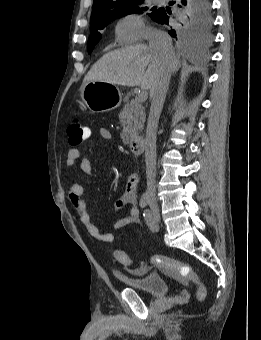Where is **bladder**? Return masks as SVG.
<instances>
[{
  "label": "bladder",
  "instance_id": "bladder-1",
  "mask_svg": "<svg viewBox=\"0 0 261 340\" xmlns=\"http://www.w3.org/2000/svg\"><path fill=\"white\" fill-rule=\"evenodd\" d=\"M116 278L127 287L152 296H165L169 290L168 281L159 274H149L143 277L117 274Z\"/></svg>",
  "mask_w": 261,
  "mask_h": 340
}]
</instances>
